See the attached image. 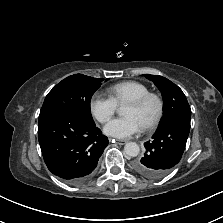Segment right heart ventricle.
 <instances>
[{"mask_svg":"<svg viewBox=\"0 0 223 223\" xmlns=\"http://www.w3.org/2000/svg\"><path fill=\"white\" fill-rule=\"evenodd\" d=\"M107 91L117 105H122L149 92V88L141 82L130 80L114 84Z\"/></svg>","mask_w":223,"mask_h":223,"instance_id":"right-heart-ventricle-1","label":"right heart ventricle"}]
</instances>
